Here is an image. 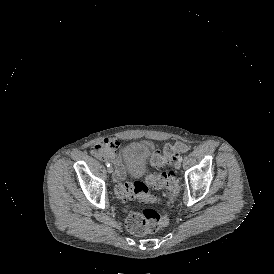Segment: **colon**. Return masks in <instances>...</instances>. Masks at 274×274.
<instances>
[{
    "instance_id": "1",
    "label": "colon",
    "mask_w": 274,
    "mask_h": 274,
    "mask_svg": "<svg viewBox=\"0 0 274 274\" xmlns=\"http://www.w3.org/2000/svg\"><path fill=\"white\" fill-rule=\"evenodd\" d=\"M186 150L187 143L184 140H170L162 145L160 151L156 153L154 159L151 161V166L156 171L148 174L144 180L119 185L116 189L118 199L125 202L127 198L133 195L141 198L147 197L150 186L162 190L167 197L173 199L178 192V182L175 174L166 171L165 167L170 165L173 155L184 153ZM167 224V216L153 208H145L140 212L127 216L125 219L127 231L135 236H144L156 232Z\"/></svg>"
}]
</instances>
